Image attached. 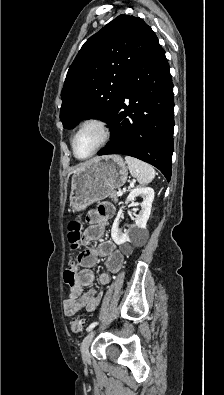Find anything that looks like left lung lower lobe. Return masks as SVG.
<instances>
[{
  "label": "left lung lower lobe",
  "instance_id": "left-lung-lower-lobe-1",
  "mask_svg": "<svg viewBox=\"0 0 224 395\" xmlns=\"http://www.w3.org/2000/svg\"><path fill=\"white\" fill-rule=\"evenodd\" d=\"M128 99V101H126ZM173 84L165 51L157 42L131 73L107 122L111 141L99 155L125 154L171 178Z\"/></svg>",
  "mask_w": 224,
  "mask_h": 395
}]
</instances>
